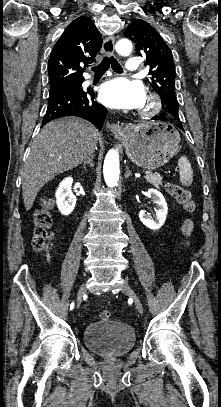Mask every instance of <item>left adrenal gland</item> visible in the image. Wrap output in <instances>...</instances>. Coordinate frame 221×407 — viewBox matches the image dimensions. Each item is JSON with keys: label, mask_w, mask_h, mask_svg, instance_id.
Returning <instances> with one entry per match:
<instances>
[{"label": "left adrenal gland", "mask_w": 221, "mask_h": 407, "mask_svg": "<svg viewBox=\"0 0 221 407\" xmlns=\"http://www.w3.org/2000/svg\"><path fill=\"white\" fill-rule=\"evenodd\" d=\"M130 176H133V174L129 171V167H126L125 179H128Z\"/></svg>", "instance_id": "obj_1"}]
</instances>
